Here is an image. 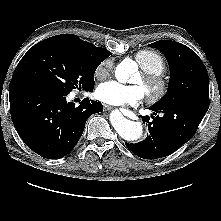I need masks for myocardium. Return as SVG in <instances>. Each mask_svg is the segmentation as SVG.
<instances>
[{"label": "myocardium", "instance_id": "1", "mask_svg": "<svg viewBox=\"0 0 221 221\" xmlns=\"http://www.w3.org/2000/svg\"><path fill=\"white\" fill-rule=\"evenodd\" d=\"M141 77L146 97L151 103H157L166 96L169 84L162 75L143 71Z\"/></svg>", "mask_w": 221, "mask_h": 221}]
</instances>
